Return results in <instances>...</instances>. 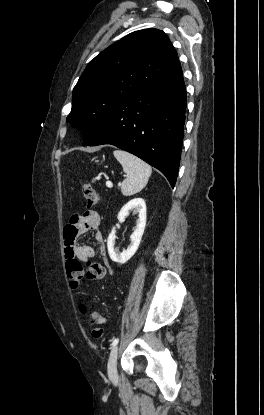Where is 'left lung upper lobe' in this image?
Instances as JSON below:
<instances>
[{
	"mask_svg": "<svg viewBox=\"0 0 264 415\" xmlns=\"http://www.w3.org/2000/svg\"><path fill=\"white\" fill-rule=\"evenodd\" d=\"M179 65L163 31L130 33L89 62L73 89L67 122L83 129L85 142L124 101Z\"/></svg>",
	"mask_w": 264,
	"mask_h": 415,
	"instance_id": "left-lung-upper-lobe-1",
	"label": "left lung upper lobe"
}]
</instances>
